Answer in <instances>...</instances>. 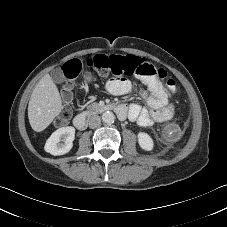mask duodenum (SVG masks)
<instances>
[{"mask_svg": "<svg viewBox=\"0 0 227 227\" xmlns=\"http://www.w3.org/2000/svg\"><path fill=\"white\" fill-rule=\"evenodd\" d=\"M108 107H103V110H106ZM114 109V111L116 112V114L120 117V118H125L127 115V109L125 106L123 105H115L112 107ZM88 116L85 114H81L78 115L74 118L73 124L74 126L78 129V130H85L88 127Z\"/></svg>", "mask_w": 227, "mask_h": 227, "instance_id": "410a0bca", "label": "duodenum"}]
</instances>
